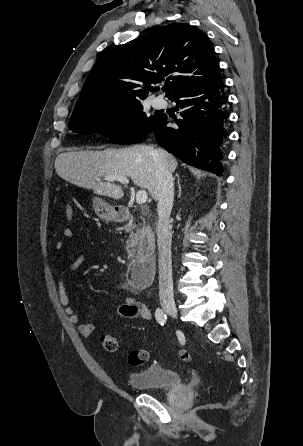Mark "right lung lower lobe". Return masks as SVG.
Returning a JSON list of instances; mask_svg holds the SVG:
<instances>
[{
    "instance_id": "1",
    "label": "right lung lower lobe",
    "mask_w": 303,
    "mask_h": 446,
    "mask_svg": "<svg viewBox=\"0 0 303 446\" xmlns=\"http://www.w3.org/2000/svg\"><path fill=\"white\" fill-rule=\"evenodd\" d=\"M183 109L177 127L163 114L151 133L158 144L183 162L217 175L223 172L222 144L227 137L228 97L222 77L194 86L170 99Z\"/></svg>"
}]
</instances>
